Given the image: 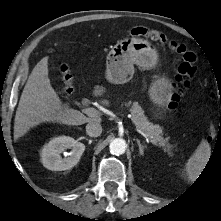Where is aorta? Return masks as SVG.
<instances>
[{"label": "aorta", "instance_id": "aorta-1", "mask_svg": "<svg viewBox=\"0 0 221 221\" xmlns=\"http://www.w3.org/2000/svg\"><path fill=\"white\" fill-rule=\"evenodd\" d=\"M126 142L121 138H116L110 142V152L114 155L124 154L126 151Z\"/></svg>", "mask_w": 221, "mask_h": 221}]
</instances>
